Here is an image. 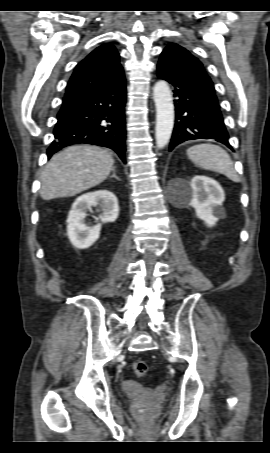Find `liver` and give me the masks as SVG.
<instances>
[{
  "label": "liver",
  "mask_w": 270,
  "mask_h": 453,
  "mask_svg": "<svg viewBox=\"0 0 270 453\" xmlns=\"http://www.w3.org/2000/svg\"><path fill=\"white\" fill-rule=\"evenodd\" d=\"M114 159L105 149L71 146L54 155L40 181L43 200L70 197L103 182L113 171Z\"/></svg>",
  "instance_id": "6515ba94"
}]
</instances>
